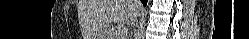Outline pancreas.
Wrapping results in <instances>:
<instances>
[{
	"mask_svg": "<svg viewBox=\"0 0 249 39\" xmlns=\"http://www.w3.org/2000/svg\"><path fill=\"white\" fill-rule=\"evenodd\" d=\"M109 36H110V38H113V39H118V37H117V33H116V30H115V29L110 30V32H109Z\"/></svg>",
	"mask_w": 249,
	"mask_h": 39,
	"instance_id": "pancreas-1",
	"label": "pancreas"
}]
</instances>
